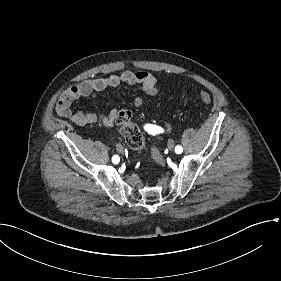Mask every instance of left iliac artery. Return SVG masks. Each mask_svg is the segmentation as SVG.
<instances>
[{"mask_svg": "<svg viewBox=\"0 0 281 281\" xmlns=\"http://www.w3.org/2000/svg\"><path fill=\"white\" fill-rule=\"evenodd\" d=\"M145 129L148 133H151V134H157V133L163 132V129L161 127H158V126H155V125H146ZM182 151H183V148L180 145H177L175 147V152L177 154L182 153Z\"/></svg>", "mask_w": 281, "mask_h": 281, "instance_id": "1", "label": "left iliac artery"}]
</instances>
